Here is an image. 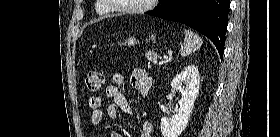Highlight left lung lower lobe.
<instances>
[{"instance_id": "0a47b994", "label": "left lung lower lobe", "mask_w": 280, "mask_h": 137, "mask_svg": "<svg viewBox=\"0 0 280 137\" xmlns=\"http://www.w3.org/2000/svg\"><path fill=\"white\" fill-rule=\"evenodd\" d=\"M230 0H164L149 15L183 23L208 37L223 57Z\"/></svg>"}]
</instances>
